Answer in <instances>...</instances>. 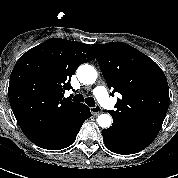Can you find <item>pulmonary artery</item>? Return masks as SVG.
I'll use <instances>...</instances> for the list:
<instances>
[{
  "instance_id": "pulmonary-artery-1",
  "label": "pulmonary artery",
  "mask_w": 178,
  "mask_h": 178,
  "mask_svg": "<svg viewBox=\"0 0 178 178\" xmlns=\"http://www.w3.org/2000/svg\"><path fill=\"white\" fill-rule=\"evenodd\" d=\"M93 94L96 96L98 99L99 103L107 108V109H112L114 107V104L112 100L110 99L107 90L104 86H97L93 90Z\"/></svg>"
}]
</instances>
